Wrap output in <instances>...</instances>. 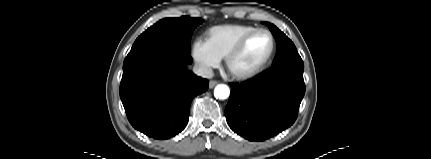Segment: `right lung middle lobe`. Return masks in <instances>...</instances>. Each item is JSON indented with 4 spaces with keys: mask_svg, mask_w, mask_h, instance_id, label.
I'll return each instance as SVG.
<instances>
[{
    "mask_svg": "<svg viewBox=\"0 0 431 159\" xmlns=\"http://www.w3.org/2000/svg\"><path fill=\"white\" fill-rule=\"evenodd\" d=\"M202 22L201 18L189 16L162 19L143 32L135 40L132 49L150 43H169L190 53L193 30Z\"/></svg>",
    "mask_w": 431,
    "mask_h": 159,
    "instance_id": "right-lung-middle-lobe-1",
    "label": "right lung middle lobe"
}]
</instances>
